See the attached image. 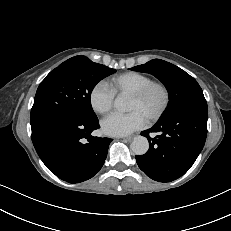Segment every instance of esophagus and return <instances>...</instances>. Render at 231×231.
<instances>
[{
	"mask_svg": "<svg viewBox=\"0 0 231 231\" xmlns=\"http://www.w3.org/2000/svg\"><path fill=\"white\" fill-rule=\"evenodd\" d=\"M121 139L125 140V141H130L132 139V137H120Z\"/></svg>",
	"mask_w": 231,
	"mask_h": 231,
	"instance_id": "esophagus-1",
	"label": "esophagus"
}]
</instances>
